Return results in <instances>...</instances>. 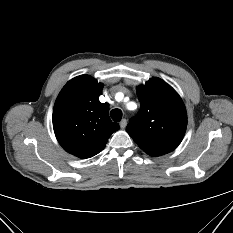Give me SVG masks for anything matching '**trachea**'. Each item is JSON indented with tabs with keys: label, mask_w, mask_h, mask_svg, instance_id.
I'll return each instance as SVG.
<instances>
[{
	"label": "trachea",
	"mask_w": 233,
	"mask_h": 233,
	"mask_svg": "<svg viewBox=\"0 0 233 233\" xmlns=\"http://www.w3.org/2000/svg\"><path fill=\"white\" fill-rule=\"evenodd\" d=\"M110 116L115 122H119L122 119V111L120 109H113L110 112Z\"/></svg>",
	"instance_id": "trachea-1"
}]
</instances>
